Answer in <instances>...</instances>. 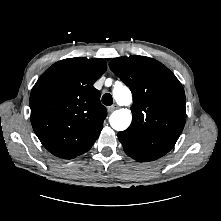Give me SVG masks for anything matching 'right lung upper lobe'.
Here are the masks:
<instances>
[{
    "instance_id": "right-lung-upper-lobe-1",
    "label": "right lung upper lobe",
    "mask_w": 221,
    "mask_h": 221,
    "mask_svg": "<svg viewBox=\"0 0 221 221\" xmlns=\"http://www.w3.org/2000/svg\"><path fill=\"white\" fill-rule=\"evenodd\" d=\"M106 69L103 59H64L48 68L34 85L31 124L53 155L75 158L98 138L107 112L93 84Z\"/></svg>"
}]
</instances>
